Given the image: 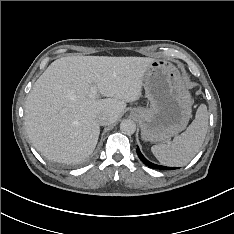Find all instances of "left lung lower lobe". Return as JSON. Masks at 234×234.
Wrapping results in <instances>:
<instances>
[{
    "mask_svg": "<svg viewBox=\"0 0 234 234\" xmlns=\"http://www.w3.org/2000/svg\"><path fill=\"white\" fill-rule=\"evenodd\" d=\"M137 154L139 156V158L141 159V161L148 167L150 168H154V169H161V170H164V169H173V168H170V167H164V166H161V165H156L150 161H148L143 155L142 153L140 152V149L139 147H137ZM175 169V168H174Z\"/></svg>",
    "mask_w": 234,
    "mask_h": 234,
    "instance_id": "0a47b994",
    "label": "left lung lower lobe"
}]
</instances>
